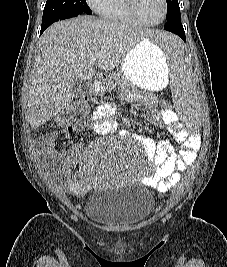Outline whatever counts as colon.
<instances>
[{"label":"colon","mask_w":227,"mask_h":267,"mask_svg":"<svg viewBox=\"0 0 227 267\" xmlns=\"http://www.w3.org/2000/svg\"><path fill=\"white\" fill-rule=\"evenodd\" d=\"M88 102L85 99L78 100L73 104V106L66 111L64 114L58 117L57 123L60 127L68 128L72 126L76 118L79 115H83L88 110ZM160 109H174L175 105L172 100H161L159 105ZM167 178H174V173H167Z\"/></svg>","instance_id":"colon-1"}]
</instances>
